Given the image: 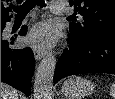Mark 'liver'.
<instances>
[{"label": "liver", "mask_w": 115, "mask_h": 99, "mask_svg": "<svg viewBox=\"0 0 115 99\" xmlns=\"http://www.w3.org/2000/svg\"><path fill=\"white\" fill-rule=\"evenodd\" d=\"M1 99H18V92L1 82Z\"/></svg>", "instance_id": "1"}]
</instances>
